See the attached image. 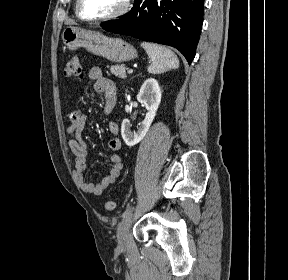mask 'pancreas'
Here are the masks:
<instances>
[{"label": "pancreas", "instance_id": "pancreas-1", "mask_svg": "<svg viewBox=\"0 0 288 280\" xmlns=\"http://www.w3.org/2000/svg\"><path fill=\"white\" fill-rule=\"evenodd\" d=\"M109 70L112 74H114L115 76L124 79L126 78V67L125 65L121 64V65H112L109 67Z\"/></svg>", "mask_w": 288, "mask_h": 280}]
</instances>
